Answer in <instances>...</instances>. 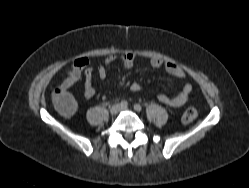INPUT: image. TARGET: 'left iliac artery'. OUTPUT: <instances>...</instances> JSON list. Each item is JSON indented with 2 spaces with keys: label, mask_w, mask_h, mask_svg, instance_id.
<instances>
[{
  "label": "left iliac artery",
  "mask_w": 249,
  "mask_h": 188,
  "mask_svg": "<svg viewBox=\"0 0 249 188\" xmlns=\"http://www.w3.org/2000/svg\"><path fill=\"white\" fill-rule=\"evenodd\" d=\"M134 109H135L136 111H141V110H142V107H141V105H139V104H135V105H134Z\"/></svg>",
  "instance_id": "1"
}]
</instances>
